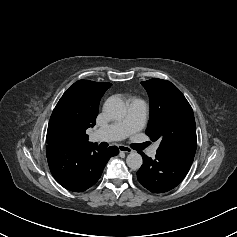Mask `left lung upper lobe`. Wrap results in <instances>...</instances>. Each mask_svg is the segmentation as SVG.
Masks as SVG:
<instances>
[{
	"mask_svg": "<svg viewBox=\"0 0 237 237\" xmlns=\"http://www.w3.org/2000/svg\"><path fill=\"white\" fill-rule=\"evenodd\" d=\"M150 99V120L146 134L161 140L157 154L192 163L196 147L193 110L184 95L169 81L141 82Z\"/></svg>",
	"mask_w": 237,
	"mask_h": 237,
	"instance_id": "obj_1",
	"label": "left lung upper lobe"
}]
</instances>
